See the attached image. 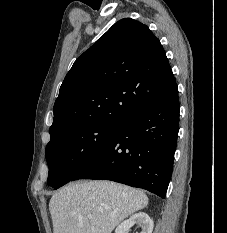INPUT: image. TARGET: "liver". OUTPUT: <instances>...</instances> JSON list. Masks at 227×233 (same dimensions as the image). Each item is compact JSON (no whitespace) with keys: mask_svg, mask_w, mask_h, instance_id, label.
<instances>
[{"mask_svg":"<svg viewBox=\"0 0 227 233\" xmlns=\"http://www.w3.org/2000/svg\"><path fill=\"white\" fill-rule=\"evenodd\" d=\"M147 204L141 190L110 181H81L53 194L49 210L54 233H111Z\"/></svg>","mask_w":227,"mask_h":233,"instance_id":"1","label":"liver"}]
</instances>
